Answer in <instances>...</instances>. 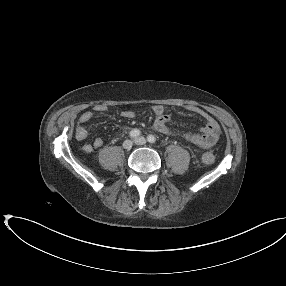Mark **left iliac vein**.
I'll return each mask as SVG.
<instances>
[{"label":"left iliac vein","mask_w":286,"mask_h":286,"mask_svg":"<svg viewBox=\"0 0 286 286\" xmlns=\"http://www.w3.org/2000/svg\"><path fill=\"white\" fill-rule=\"evenodd\" d=\"M146 142H147V140H146V138L143 137V136L138 137V138L135 139V143H136L137 145H144V144H146Z\"/></svg>","instance_id":"left-iliac-vein-1"}]
</instances>
